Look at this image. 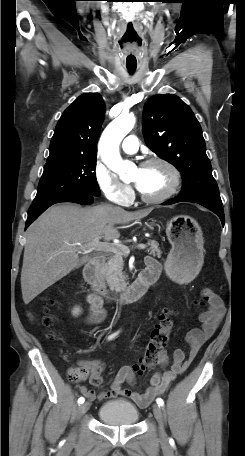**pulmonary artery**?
<instances>
[{
    "label": "pulmonary artery",
    "instance_id": "pulmonary-artery-1",
    "mask_svg": "<svg viewBox=\"0 0 245 456\" xmlns=\"http://www.w3.org/2000/svg\"><path fill=\"white\" fill-rule=\"evenodd\" d=\"M124 152L128 154L136 153L139 147L138 139L135 135L127 136L121 145Z\"/></svg>",
    "mask_w": 245,
    "mask_h": 456
}]
</instances>
